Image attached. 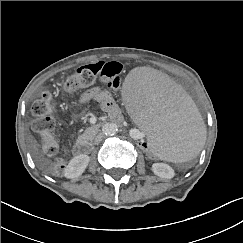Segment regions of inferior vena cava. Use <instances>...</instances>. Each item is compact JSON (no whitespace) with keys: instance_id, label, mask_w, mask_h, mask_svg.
Wrapping results in <instances>:
<instances>
[{"instance_id":"1","label":"inferior vena cava","mask_w":243,"mask_h":243,"mask_svg":"<svg viewBox=\"0 0 243 243\" xmlns=\"http://www.w3.org/2000/svg\"><path fill=\"white\" fill-rule=\"evenodd\" d=\"M103 137H104V134H103V133H99V134L94 138V140H93V144H94V145H98V144L102 141Z\"/></svg>"}]
</instances>
